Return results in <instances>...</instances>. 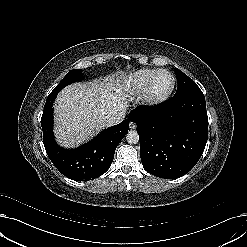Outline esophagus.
Returning a JSON list of instances; mask_svg holds the SVG:
<instances>
[{
  "label": "esophagus",
  "mask_w": 247,
  "mask_h": 247,
  "mask_svg": "<svg viewBox=\"0 0 247 247\" xmlns=\"http://www.w3.org/2000/svg\"><path fill=\"white\" fill-rule=\"evenodd\" d=\"M129 127H130L131 130L135 129L136 128V123L131 121L130 124H129Z\"/></svg>",
  "instance_id": "1"
}]
</instances>
